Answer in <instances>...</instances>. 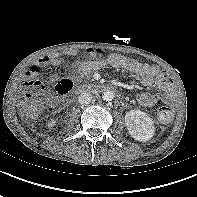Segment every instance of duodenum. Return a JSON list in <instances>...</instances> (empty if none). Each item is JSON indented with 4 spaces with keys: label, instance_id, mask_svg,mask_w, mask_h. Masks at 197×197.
<instances>
[{
    "label": "duodenum",
    "instance_id": "410a0bca",
    "mask_svg": "<svg viewBox=\"0 0 197 197\" xmlns=\"http://www.w3.org/2000/svg\"><path fill=\"white\" fill-rule=\"evenodd\" d=\"M86 89L83 87H79L77 89V91L79 93H83ZM113 88L111 86L108 85H95L92 88L89 89L90 92H96V93H101V92H105V91H112Z\"/></svg>",
    "mask_w": 197,
    "mask_h": 197
}]
</instances>
